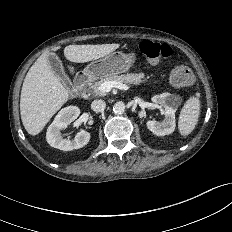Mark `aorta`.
<instances>
[{
	"label": "aorta",
	"mask_w": 232,
	"mask_h": 232,
	"mask_svg": "<svg viewBox=\"0 0 232 232\" xmlns=\"http://www.w3.org/2000/svg\"><path fill=\"white\" fill-rule=\"evenodd\" d=\"M126 106L122 101H118L113 106V111L115 114H123L125 112Z\"/></svg>",
	"instance_id": "1"
}]
</instances>
